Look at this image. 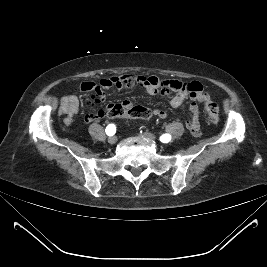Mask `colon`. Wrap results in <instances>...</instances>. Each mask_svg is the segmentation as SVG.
<instances>
[{"mask_svg": "<svg viewBox=\"0 0 267 267\" xmlns=\"http://www.w3.org/2000/svg\"><path fill=\"white\" fill-rule=\"evenodd\" d=\"M204 110L208 120L211 123H218L219 121V106L216 102L209 100L204 104ZM108 116L111 118H119V117H131L138 119H148L151 116V111L148 108L143 106H131L127 109L122 107H115L109 113Z\"/></svg>", "mask_w": 267, "mask_h": 267, "instance_id": "5ec220e1", "label": "colon"}]
</instances>
